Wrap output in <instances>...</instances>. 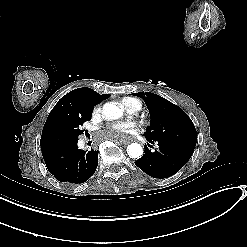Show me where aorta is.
<instances>
[{"instance_id":"obj_1","label":"aorta","mask_w":247,"mask_h":247,"mask_svg":"<svg viewBox=\"0 0 247 247\" xmlns=\"http://www.w3.org/2000/svg\"><path fill=\"white\" fill-rule=\"evenodd\" d=\"M123 109L113 102L103 105V115L110 120L118 119L122 116ZM127 153L130 158L139 159L143 155V149L140 144L132 143L127 147Z\"/></svg>"}]
</instances>
